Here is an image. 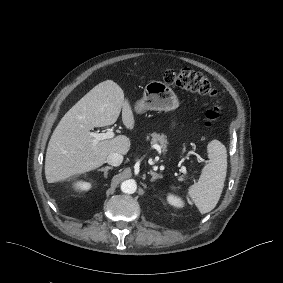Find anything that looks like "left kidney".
I'll return each mask as SVG.
<instances>
[{
	"mask_svg": "<svg viewBox=\"0 0 283 283\" xmlns=\"http://www.w3.org/2000/svg\"><path fill=\"white\" fill-rule=\"evenodd\" d=\"M167 201L170 205H173L175 207L182 208L184 206V202L181 198L171 194L167 196Z\"/></svg>",
	"mask_w": 283,
	"mask_h": 283,
	"instance_id": "1",
	"label": "left kidney"
}]
</instances>
